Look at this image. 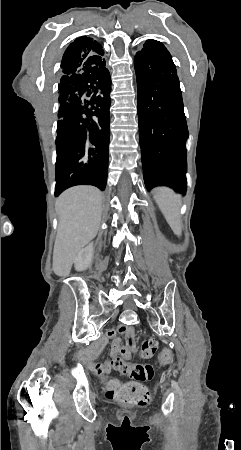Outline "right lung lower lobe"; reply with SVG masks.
Segmentation results:
<instances>
[{
	"instance_id": "98d812e1",
	"label": "right lung lower lobe",
	"mask_w": 241,
	"mask_h": 450,
	"mask_svg": "<svg viewBox=\"0 0 241 450\" xmlns=\"http://www.w3.org/2000/svg\"><path fill=\"white\" fill-rule=\"evenodd\" d=\"M105 65L104 60L60 78L56 196L75 185L106 187L111 77Z\"/></svg>"
}]
</instances>
